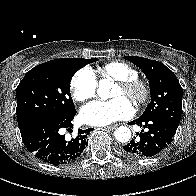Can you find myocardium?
<instances>
[{
	"mask_svg": "<svg viewBox=\"0 0 196 196\" xmlns=\"http://www.w3.org/2000/svg\"><path fill=\"white\" fill-rule=\"evenodd\" d=\"M117 85L131 95L130 100L137 106L145 104L150 97V86L141 78L119 80Z\"/></svg>",
	"mask_w": 196,
	"mask_h": 196,
	"instance_id": "1",
	"label": "myocardium"
}]
</instances>
